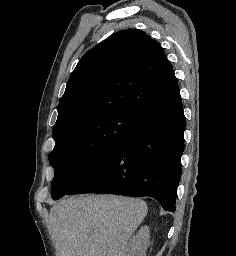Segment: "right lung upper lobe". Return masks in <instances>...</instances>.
Listing matches in <instances>:
<instances>
[{
    "label": "right lung upper lobe",
    "instance_id": "1",
    "mask_svg": "<svg viewBox=\"0 0 236 256\" xmlns=\"http://www.w3.org/2000/svg\"><path fill=\"white\" fill-rule=\"evenodd\" d=\"M179 95L172 65L160 44L141 30L119 31L78 62L59 102L53 134L115 112L141 120Z\"/></svg>",
    "mask_w": 236,
    "mask_h": 256
}]
</instances>
